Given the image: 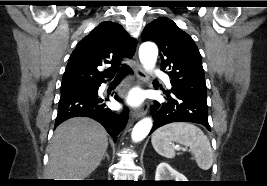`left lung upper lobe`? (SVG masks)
I'll return each instance as SVG.
<instances>
[{"mask_svg": "<svg viewBox=\"0 0 267 186\" xmlns=\"http://www.w3.org/2000/svg\"><path fill=\"white\" fill-rule=\"evenodd\" d=\"M142 41L155 42L160 50L162 69L168 72L172 88L206 98L207 87L201 55L192 38L166 17L149 23Z\"/></svg>", "mask_w": 267, "mask_h": 186, "instance_id": "1", "label": "left lung upper lobe"}]
</instances>
